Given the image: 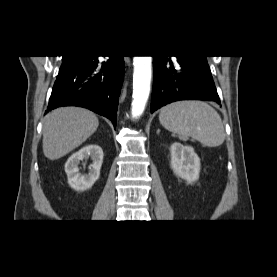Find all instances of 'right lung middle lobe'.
I'll return each mask as SVG.
<instances>
[{
  "mask_svg": "<svg viewBox=\"0 0 277 277\" xmlns=\"http://www.w3.org/2000/svg\"><path fill=\"white\" fill-rule=\"evenodd\" d=\"M76 58H78V56H63L60 71L66 68L69 64H71Z\"/></svg>",
  "mask_w": 277,
  "mask_h": 277,
  "instance_id": "obj_1",
  "label": "right lung middle lobe"
}]
</instances>
